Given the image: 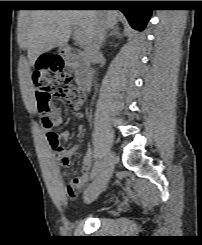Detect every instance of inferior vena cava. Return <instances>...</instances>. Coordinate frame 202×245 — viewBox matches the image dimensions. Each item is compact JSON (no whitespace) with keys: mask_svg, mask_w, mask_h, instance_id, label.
Masks as SVG:
<instances>
[{"mask_svg":"<svg viewBox=\"0 0 202 245\" xmlns=\"http://www.w3.org/2000/svg\"><path fill=\"white\" fill-rule=\"evenodd\" d=\"M107 30L106 21L99 19L85 49L86 58L92 63L101 56L100 48L105 40Z\"/></svg>","mask_w":202,"mask_h":245,"instance_id":"1","label":"inferior vena cava"}]
</instances>
